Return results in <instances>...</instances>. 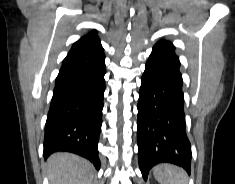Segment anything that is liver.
<instances>
[{
	"label": "liver",
	"instance_id": "liver-1",
	"mask_svg": "<svg viewBox=\"0 0 235 184\" xmlns=\"http://www.w3.org/2000/svg\"><path fill=\"white\" fill-rule=\"evenodd\" d=\"M43 172L50 184H92L94 168L84 158L58 152L48 158Z\"/></svg>",
	"mask_w": 235,
	"mask_h": 184
}]
</instances>
